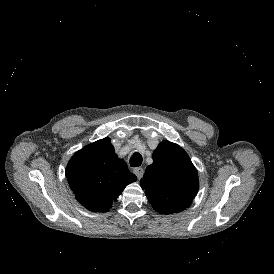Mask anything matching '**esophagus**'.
<instances>
[{"mask_svg":"<svg viewBox=\"0 0 274 274\" xmlns=\"http://www.w3.org/2000/svg\"><path fill=\"white\" fill-rule=\"evenodd\" d=\"M133 172L138 177V179H141L144 174V169L142 167H136L133 169Z\"/></svg>","mask_w":274,"mask_h":274,"instance_id":"34e87169","label":"esophagus"}]
</instances>
